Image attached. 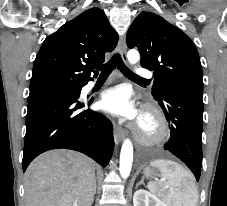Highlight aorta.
Segmentation results:
<instances>
[{"mask_svg":"<svg viewBox=\"0 0 227 206\" xmlns=\"http://www.w3.org/2000/svg\"><path fill=\"white\" fill-rule=\"evenodd\" d=\"M127 58L130 64H135L139 61L140 55L137 50L131 49L127 53ZM133 162V145L129 139L123 142L120 152L119 172L123 179L129 177Z\"/></svg>","mask_w":227,"mask_h":206,"instance_id":"1","label":"aorta"}]
</instances>
